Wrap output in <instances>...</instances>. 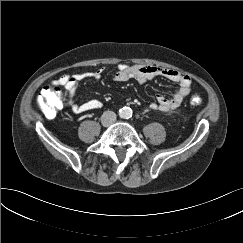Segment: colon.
Segmentation results:
<instances>
[{"label": "colon", "instance_id": "colon-1", "mask_svg": "<svg viewBox=\"0 0 243 243\" xmlns=\"http://www.w3.org/2000/svg\"><path fill=\"white\" fill-rule=\"evenodd\" d=\"M37 103L46 117L53 118L63 106V95L60 88L58 86L45 87L38 95ZM190 103L198 106L202 100L198 96H193Z\"/></svg>", "mask_w": 243, "mask_h": 243}]
</instances>
